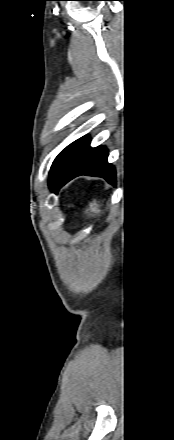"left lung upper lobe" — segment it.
<instances>
[{
	"instance_id": "left-lung-upper-lobe-1",
	"label": "left lung upper lobe",
	"mask_w": 174,
	"mask_h": 440,
	"mask_svg": "<svg viewBox=\"0 0 174 440\" xmlns=\"http://www.w3.org/2000/svg\"><path fill=\"white\" fill-rule=\"evenodd\" d=\"M76 142L77 141L67 146L54 160L49 174V186L51 189L53 188L57 177L61 174L66 166Z\"/></svg>"
}]
</instances>
